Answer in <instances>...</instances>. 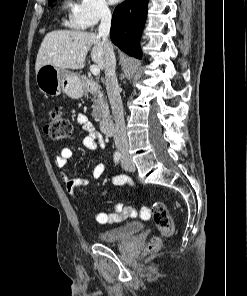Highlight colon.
Wrapping results in <instances>:
<instances>
[{"instance_id": "5ec220e1", "label": "colon", "mask_w": 247, "mask_h": 296, "mask_svg": "<svg viewBox=\"0 0 247 296\" xmlns=\"http://www.w3.org/2000/svg\"><path fill=\"white\" fill-rule=\"evenodd\" d=\"M45 133L53 140L65 139L72 134V124L60 108H53L50 111L49 120L45 126ZM150 215L159 232V235H155L147 246V252L154 253L161 246V237L171 235L174 225L169 209L163 202H155L150 211L148 210V212L141 214L143 218H148Z\"/></svg>"}]
</instances>
